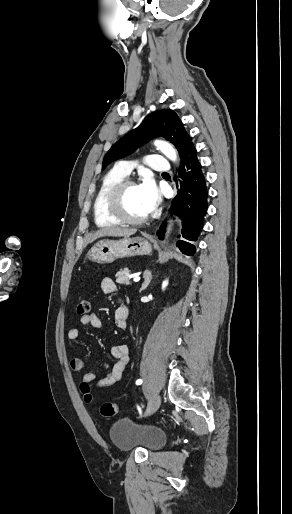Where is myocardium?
<instances>
[{
	"mask_svg": "<svg viewBox=\"0 0 292 514\" xmlns=\"http://www.w3.org/2000/svg\"><path fill=\"white\" fill-rule=\"evenodd\" d=\"M131 187H137V184L135 181L130 179L120 181L111 187L105 194L104 207L108 216H110L116 222L129 225H139L148 219L149 213H146L139 218H130L125 216L120 208V198L122 193L127 188Z\"/></svg>",
	"mask_w": 292,
	"mask_h": 514,
	"instance_id": "f54148a6",
	"label": "myocardium"
}]
</instances>
